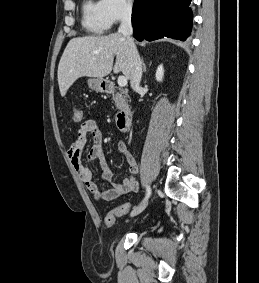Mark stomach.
<instances>
[{"label": "stomach", "mask_w": 259, "mask_h": 283, "mask_svg": "<svg viewBox=\"0 0 259 283\" xmlns=\"http://www.w3.org/2000/svg\"><path fill=\"white\" fill-rule=\"evenodd\" d=\"M88 86L91 90L95 92H105L107 89V83L104 79L101 78H90L88 79Z\"/></svg>", "instance_id": "obj_1"}]
</instances>
